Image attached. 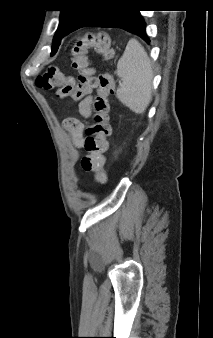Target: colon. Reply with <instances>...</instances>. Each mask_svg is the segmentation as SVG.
I'll return each mask as SVG.
<instances>
[{"instance_id": "5ec220e1", "label": "colon", "mask_w": 213, "mask_h": 338, "mask_svg": "<svg viewBox=\"0 0 213 338\" xmlns=\"http://www.w3.org/2000/svg\"><path fill=\"white\" fill-rule=\"evenodd\" d=\"M91 50L105 59L114 56V47L106 34L88 33L76 37L71 42L69 51L73 57V67L79 74L78 81L63 74L57 67L50 66L38 78L37 83L43 90H55L57 98L70 97L74 103L79 102L87 91L95 90L93 122L86 130L84 146L87 154L81 160V168L85 172L94 173L98 182L105 183L108 179L106 153L111 133L108 98L113 94V78L109 73L95 75L89 62ZM64 126L68 130H75L78 121L69 118Z\"/></svg>"}]
</instances>
